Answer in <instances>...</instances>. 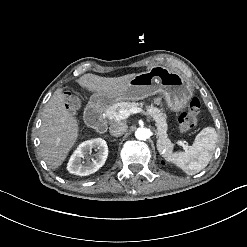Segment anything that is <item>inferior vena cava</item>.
I'll return each instance as SVG.
<instances>
[{"label":"inferior vena cava","mask_w":247,"mask_h":247,"mask_svg":"<svg viewBox=\"0 0 247 247\" xmlns=\"http://www.w3.org/2000/svg\"><path fill=\"white\" fill-rule=\"evenodd\" d=\"M127 129V124L117 121L110 125L109 132L112 136H121L127 131Z\"/></svg>","instance_id":"602c4592"}]
</instances>
